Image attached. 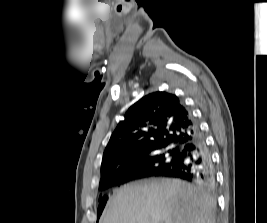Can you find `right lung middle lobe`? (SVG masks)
Listing matches in <instances>:
<instances>
[{"mask_svg":"<svg viewBox=\"0 0 267 223\" xmlns=\"http://www.w3.org/2000/svg\"><path fill=\"white\" fill-rule=\"evenodd\" d=\"M178 155L179 151L175 148H164L160 151L154 152L139 160L141 168L133 174L151 177L152 175L171 167L176 162ZM112 177H109L108 179H111ZM106 180L107 179L101 181L100 188L104 186ZM107 199L108 197L106 196L102 198L101 204L98 208V217L100 216Z\"/></svg>","mask_w":267,"mask_h":223,"instance_id":"obj_1","label":"right lung middle lobe"}]
</instances>
